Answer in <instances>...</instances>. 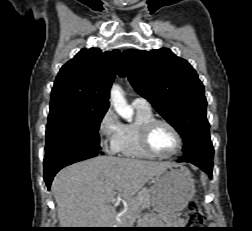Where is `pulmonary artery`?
Segmentation results:
<instances>
[{
  "instance_id": "1",
  "label": "pulmonary artery",
  "mask_w": 252,
  "mask_h": 231,
  "mask_svg": "<svg viewBox=\"0 0 252 231\" xmlns=\"http://www.w3.org/2000/svg\"><path fill=\"white\" fill-rule=\"evenodd\" d=\"M132 105L134 107H139V108H144V109H151V106H150V103L148 102V100H146L145 98H142V97H136L132 101Z\"/></svg>"
}]
</instances>
